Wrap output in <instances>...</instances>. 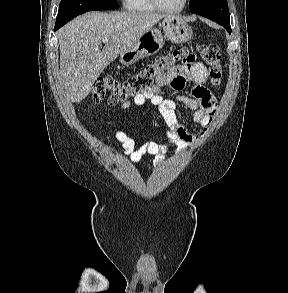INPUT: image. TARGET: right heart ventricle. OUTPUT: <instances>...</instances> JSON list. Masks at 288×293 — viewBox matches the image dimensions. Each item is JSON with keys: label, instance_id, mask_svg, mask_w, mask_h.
<instances>
[{"label": "right heart ventricle", "instance_id": "right-heart-ventricle-1", "mask_svg": "<svg viewBox=\"0 0 288 293\" xmlns=\"http://www.w3.org/2000/svg\"><path fill=\"white\" fill-rule=\"evenodd\" d=\"M127 10L133 12H154L157 9L151 0H123Z\"/></svg>", "mask_w": 288, "mask_h": 293}]
</instances>
